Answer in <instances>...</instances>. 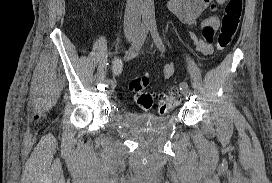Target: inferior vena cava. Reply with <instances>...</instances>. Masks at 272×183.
<instances>
[{
	"label": "inferior vena cava",
	"mask_w": 272,
	"mask_h": 183,
	"mask_svg": "<svg viewBox=\"0 0 272 183\" xmlns=\"http://www.w3.org/2000/svg\"><path fill=\"white\" fill-rule=\"evenodd\" d=\"M142 14V1L141 0H127L124 28L125 31H136L140 25Z\"/></svg>",
	"instance_id": "obj_1"
}]
</instances>
